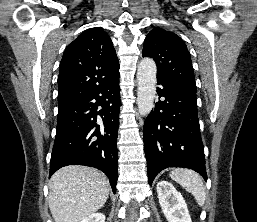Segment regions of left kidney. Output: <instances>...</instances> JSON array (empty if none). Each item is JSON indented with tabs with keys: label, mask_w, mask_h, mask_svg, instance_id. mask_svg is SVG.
<instances>
[{
	"label": "left kidney",
	"mask_w": 257,
	"mask_h": 222,
	"mask_svg": "<svg viewBox=\"0 0 257 222\" xmlns=\"http://www.w3.org/2000/svg\"><path fill=\"white\" fill-rule=\"evenodd\" d=\"M160 206L168 222H192L181 193L168 181L157 183Z\"/></svg>",
	"instance_id": "5707ae66"
}]
</instances>
